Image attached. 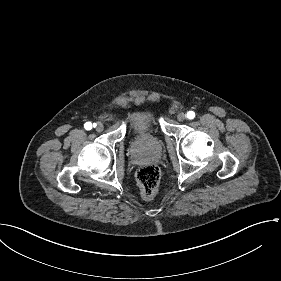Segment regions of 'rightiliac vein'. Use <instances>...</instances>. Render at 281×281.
I'll return each instance as SVG.
<instances>
[{"instance_id":"1","label":"right iliac vein","mask_w":281,"mask_h":281,"mask_svg":"<svg viewBox=\"0 0 281 281\" xmlns=\"http://www.w3.org/2000/svg\"><path fill=\"white\" fill-rule=\"evenodd\" d=\"M95 128H96V131H97V132H102L103 129H104V125H103L101 122H98V123L95 125Z\"/></svg>"}]
</instances>
